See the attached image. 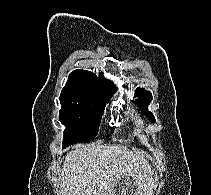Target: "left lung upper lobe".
I'll return each mask as SVG.
<instances>
[{
    "mask_svg": "<svg viewBox=\"0 0 211 195\" xmlns=\"http://www.w3.org/2000/svg\"><path fill=\"white\" fill-rule=\"evenodd\" d=\"M135 96L139 97V101L137 102L140 109L152 120H154V116L151 112L147 110V105L152 101V94L149 91H146L143 88H137L135 91Z\"/></svg>",
    "mask_w": 211,
    "mask_h": 195,
    "instance_id": "5c2ea615",
    "label": "left lung upper lobe"
}]
</instances>
